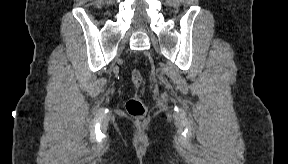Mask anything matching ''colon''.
Listing matches in <instances>:
<instances>
[{
    "instance_id": "obj_1",
    "label": "colon",
    "mask_w": 288,
    "mask_h": 164,
    "mask_svg": "<svg viewBox=\"0 0 288 164\" xmlns=\"http://www.w3.org/2000/svg\"><path fill=\"white\" fill-rule=\"evenodd\" d=\"M131 79L134 87L139 90L143 86V77L139 70H131ZM127 113L134 118H142L146 116V106L139 95L129 98L125 104Z\"/></svg>"
}]
</instances>
